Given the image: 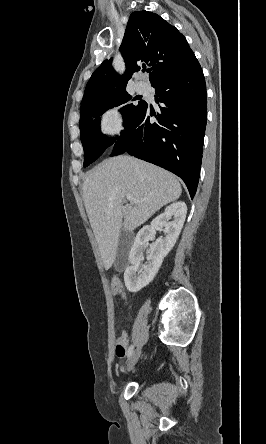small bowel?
I'll return each mask as SVG.
<instances>
[{"label": "small bowel", "instance_id": "1", "mask_svg": "<svg viewBox=\"0 0 266 444\" xmlns=\"http://www.w3.org/2000/svg\"><path fill=\"white\" fill-rule=\"evenodd\" d=\"M112 290L113 293L116 295H121L123 298H125V291L123 288L122 282L118 278H114L112 280ZM128 334L123 332L117 339L116 344V353L119 357L125 356L126 348L128 346Z\"/></svg>", "mask_w": 266, "mask_h": 444}]
</instances>
